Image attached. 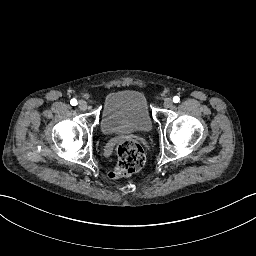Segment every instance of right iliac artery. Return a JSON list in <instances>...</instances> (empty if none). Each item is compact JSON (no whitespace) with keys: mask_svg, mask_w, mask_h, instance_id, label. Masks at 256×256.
I'll use <instances>...</instances> for the list:
<instances>
[{"mask_svg":"<svg viewBox=\"0 0 256 256\" xmlns=\"http://www.w3.org/2000/svg\"><path fill=\"white\" fill-rule=\"evenodd\" d=\"M70 104L72 106H76L78 103H77V100L75 98H73V99H71Z\"/></svg>","mask_w":256,"mask_h":256,"instance_id":"1","label":"right iliac artery"}]
</instances>
